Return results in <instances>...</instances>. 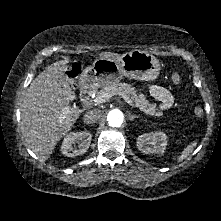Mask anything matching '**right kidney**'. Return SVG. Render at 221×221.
Returning <instances> with one entry per match:
<instances>
[{
  "label": "right kidney",
  "instance_id": "right-kidney-1",
  "mask_svg": "<svg viewBox=\"0 0 221 221\" xmlns=\"http://www.w3.org/2000/svg\"><path fill=\"white\" fill-rule=\"evenodd\" d=\"M91 139L92 135L90 132H71L64 138L61 145V152L67 157L82 155L88 150ZM76 143L78 144L77 148L75 147Z\"/></svg>",
  "mask_w": 221,
  "mask_h": 221
}]
</instances>
